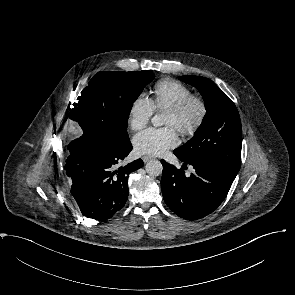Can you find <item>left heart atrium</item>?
Listing matches in <instances>:
<instances>
[{"label":"left heart atrium","mask_w":295,"mask_h":295,"mask_svg":"<svg viewBox=\"0 0 295 295\" xmlns=\"http://www.w3.org/2000/svg\"><path fill=\"white\" fill-rule=\"evenodd\" d=\"M178 143V135L174 128H148L133 138V146L137 153L153 156L163 155Z\"/></svg>","instance_id":"left-heart-atrium-1"}]
</instances>
